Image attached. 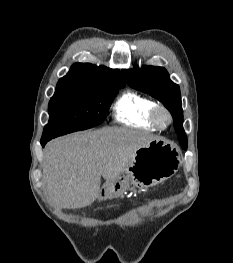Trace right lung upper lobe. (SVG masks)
Listing matches in <instances>:
<instances>
[{"mask_svg": "<svg viewBox=\"0 0 233 263\" xmlns=\"http://www.w3.org/2000/svg\"><path fill=\"white\" fill-rule=\"evenodd\" d=\"M123 86L125 83L118 69L75 63L69 73L58 81L54 96L99 93Z\"/></svg>", "mask_w": 233, "mask_h": 263, "instance_id": "right-lung-upper-lobe-1", "label": "right lung upper lobe"}]
</instances>
